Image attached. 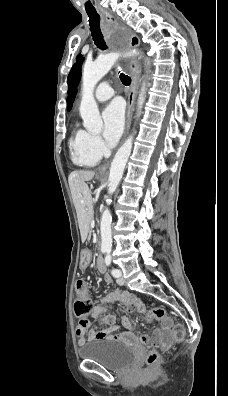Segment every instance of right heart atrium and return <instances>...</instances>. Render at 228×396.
I'll return each mask as SVG.
<instances>
[{
    "instance_id": "obj_1",
    "label": "right heart atrium",
    "mask_w": 228,
    "mask_h": 396,
    "mask_svg": "<svg viewBox=\"0 0 228 396\" xmlns=\"http://www.w3.org/2000/svg\"><path fill=\"white\" fill-rule=\"evenodd\" d=\"M91 150L101 157L105 153V144L100 136L88 133Z\"/></svg>"
}]
</instances>
